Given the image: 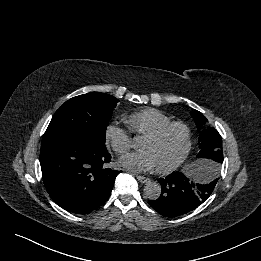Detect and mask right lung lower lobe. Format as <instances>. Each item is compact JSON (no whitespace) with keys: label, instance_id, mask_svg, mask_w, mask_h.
<instances>
[{"label":"right lung lower lobe","instance_id":"right-lung-lower-lobe-1","mask_svg":"<svg viewBox=\"0 0 261 261\" xmlns=\"http://www.w3.org/2000/svg\"><path fill=\"white\" fill-rule=\"evenodd\" d=\"M111 155L105 144L72 139L41 146L40 164L45 188L60 207L87 214L111 195L120 171L106 168Z\"/></svg>","mask_w":261,"mask_h":261}]
</instances>
